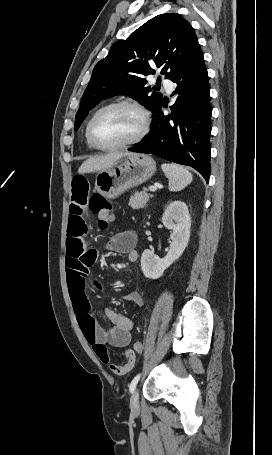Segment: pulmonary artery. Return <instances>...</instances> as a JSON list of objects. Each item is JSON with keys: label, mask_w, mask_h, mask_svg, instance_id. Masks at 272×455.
Listing matches in <instances>:
<instances>
[{"label": "pulmonary artery", "mask_w": 272, "mask_h": 455, "mask_svg": "<svg viewBox=\"0 0 272 455\" xmlns=\"http://www.w3.org/2000/svg\"><path fill=\"white\" fill-rule=\"evenodd\" d=\"M167 92H171L173 88V83L169 79H163L162 81Z\"/></svg>", "instance_id": "pulmonary-artery-1"}]
</instances>
